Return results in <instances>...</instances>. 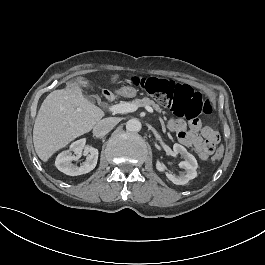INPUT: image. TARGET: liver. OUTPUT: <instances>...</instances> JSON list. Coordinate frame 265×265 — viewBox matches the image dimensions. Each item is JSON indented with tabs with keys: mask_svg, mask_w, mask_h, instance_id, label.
<instances>
[{
	"mask_svg": "<svg viewBox=\"0 0 265 265\" xmlns=\"http://www.w3.org/2000/svg\"><path fill=\"white\" fill-rule=\"evenodd\" d=\"M121 75H111L108 84L117 85ZM105 113L85 98L79 82L52 91L42 102L33 128V144L44 163L76 138L89 133Z\"/></svg>",
	"mask_w": 265,
	"mask_h": 265,
	"instance_id": "1",
	"label": "liver"
}]
</instances>
